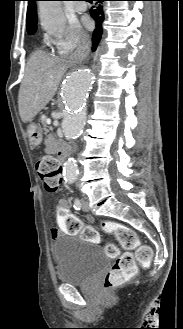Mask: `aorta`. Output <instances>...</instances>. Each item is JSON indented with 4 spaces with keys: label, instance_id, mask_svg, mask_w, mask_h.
<instances>
[{
    "label": "aorta",
    "instance_id": "762f6f07",
    "mask_svg": "<svg viewBox=\"0 0 183 329\" xmlns=\"http://www.w3.org/2000/svg\"><path fill=\"white\" fill-rule=\"evenodd\" d=\"M39 16L43 29L54 36L62 34L67 26L59 1H40ZM94 85L95 74L88 68H77L66 78L61 95L64 106L62 130L69 140H76L85 126L86 101ZM77 175V164L69 158L64 164V180L72 184Z\"/></svg>",
    "mask_w": 183,
    "mask_h": 329
}]
</instances>
